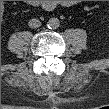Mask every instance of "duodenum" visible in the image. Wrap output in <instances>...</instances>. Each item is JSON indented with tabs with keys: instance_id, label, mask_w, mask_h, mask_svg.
Returning a JSON list of instances; mask_svg holds the SVG:
<instances>
[{
	"instance_id": "1",
	"label": "duodenum",
	"mask_w": 109,
	"mask_h": 109,
	"mask_svg": "<svg viewBox=\"0 0 109 109\" xmlns=\"http://www.w3.org/2000/svg\"><path fill=\"white\" fill-rule=\"evenodd\" d=\"M31 5L32 6H46L47 3L46 2H42V1H32Z\"/></svg>"
}]
</instances>
